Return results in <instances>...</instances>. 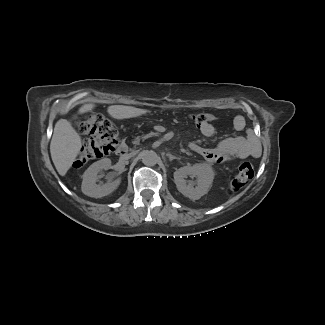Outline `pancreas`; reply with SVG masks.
<instances>
[{
  "mask_svg": "<svg viewBox=\"0 0 325 325\" xmlns=\"http://www.w3.org/2000/svg\"><path fill=\"white\" fill-rule=\"evenodd\" d=\"M143 136H144V137L141 136V137H139L138 139H136V138L133 139V141H132L133 144H135V145L138 146V145H140L142 142H144L145 138H146V139H147V138H149V139L152 138L153 134L150 133V132H149V133L146 132V133H144Z\"/></svg>",
  "mask_w": 325,
  "mask_h": 325,
  "instance_id": "cf45deb5",
  "label": "pancreas"
}]
</instances>
